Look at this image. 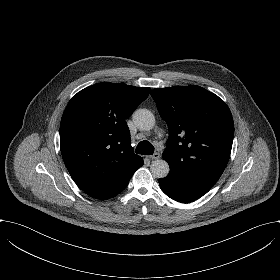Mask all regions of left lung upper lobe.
I'll return each mask as SVG.
<instances>
[{
  "label": "left lung upper lobe",
  "mask_w": 280,
  "mask_h": 280,
  "mask_svg": "<svg viewBox=\"0 0 280 280\" xmlns=\"http://www.w3.org/2000/svg\"><path fill=\"white\" fill-rule=\"evenodd\" d=\"M151 96L169 129L163 152L169 175L182 182H217L233 142L234 123L228 106L197 85L156 88Z\"/></svg>",
  "instance_id": "5c2ea615"
}]
</instances>
